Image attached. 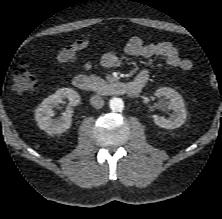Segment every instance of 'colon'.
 Wrapping results in <instances>:
<instances>
[{
  "label": "colon",
  "instance_id": "obj_1",
  "mask_svg": "<svg viewBox=\"0 0 222 219\" xmlns=\"http://www.w3.org/2000/svg\"><path fill=\"white\" fill-rule=\"evenodd\" d=\"M13 90L17 93L33 91L38 86L36 75L32 72L26 63L17 65L12 71ZM210 84L216 86L218 84L215 78L210 79Z\"/></svg>",
  "mask_w": 222,
  "mask_h": 219
}]
</instances>
